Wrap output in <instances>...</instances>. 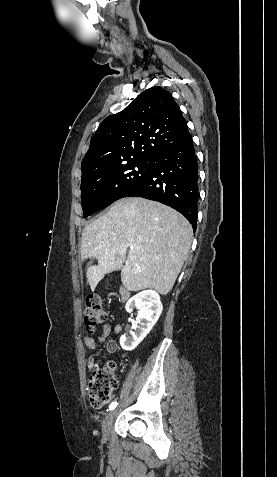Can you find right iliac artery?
Segmentation results:
<instances>
[{
  "label": "right iliac artery",
  "mask_w": 277,
  "mask_h": 477,
  "mask_svg": "<svg viewBox=\"0 0 277 477\" xmlns=\"http://www.w3.org/2000/svg\"><path fill=\"white\" fill-rule=\"evenodd\" d=\"M116 406H117V402H113V403H111V404H110V406H109V410H113V409H115V408H116Z\"/></svg>",
  "instance_id": "right-iliac-artery-1"
}]
</instances>
